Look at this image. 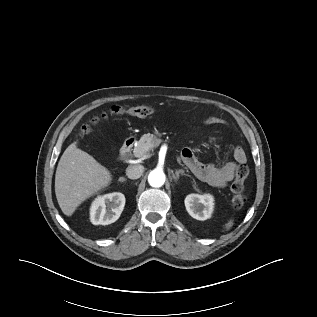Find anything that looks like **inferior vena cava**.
I'll list each match as a JSON object with an SVG mask.
<instances>
[{
    "instance_id": "1",
    "label": "inferior vena cava",
    "mask_w": 317,
    "mask_h": 317,
    "mask_svg": "<svg viewBox=\"0 0 317 317\" xmlns=\"http://www.w3.org/2000/svg\"><path fill=\"white\" fill-rule=\"evenodd\" d=\"M144 172V167L142 165H130L126 169V175L130 179H138Z\"/></svg>"
}]
</instances>
